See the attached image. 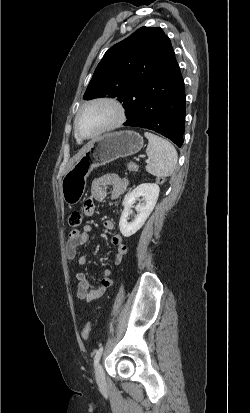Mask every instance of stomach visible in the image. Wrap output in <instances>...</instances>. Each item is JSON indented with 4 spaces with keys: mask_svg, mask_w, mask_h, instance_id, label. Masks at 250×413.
Returning a JSON list of instances; mask_svg holds the SVG:
<instances>
[{
    "mask_svg": "<svg viewBox=\"0 0 250 413\" xmlns=\"http://www.w3.org/2000/svg\"><path fill=\"white\" fill-rule=\"evenodd\" d=\"M142 147L143 137L129 130L107 133L93 140L89 150L75 162L61 181L60 188L64 202L72 206L81 200L87 177L94 168L118 158L134 155Z\"/></svg>",
    "mask_w": 250,
    "mask_h": 413,
    "instance_id": "0dacf381",
    "label": "stomach"
}]
</instances>
